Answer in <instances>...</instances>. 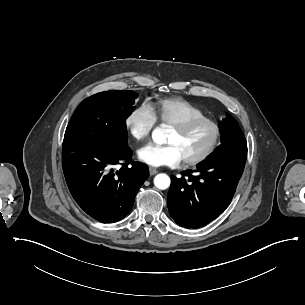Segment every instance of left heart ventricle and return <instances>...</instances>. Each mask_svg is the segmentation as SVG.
<instances>
[{"label": "left heart ventricle", "mask_w": 305, "mask_h": 305, "mask_svg": "<svg viewBox=\"0 0 305 305\" xmlns=\"http://www.w3.org/2000/svg\"><path fill=\"white\" fill-rule=\"evenodd\" d=\"M214 138V126L210 123H202L185 132L170 127L165 142L175 145L182 159H186L200 155L212 144Z\"/></svg>", "instance_id": "obj_1"}]
</instances>
